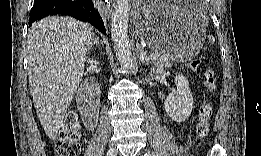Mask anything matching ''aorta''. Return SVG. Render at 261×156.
Returning <instances> with one entry per match:
<instances>
[{
  "label": "aorta",
  "instance_id": "obj_1",
  "mask_svg": "<svg viewBox=\"0 0 261 156\" xmlns=\"http://www.w3.org/2000/svg\"><path fill=\"white\" fill-rule=\"evenodd\" d=\"M129 0H118L112 16L111 36L117 59L125 67H132L131 46L128 38Z\"/></svg>",
  "mask_w": 261,
  "mask_h": 156
}]
</instances>
